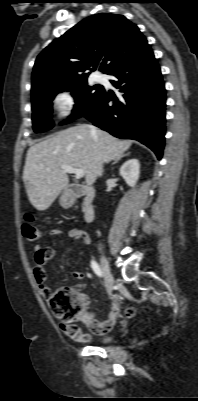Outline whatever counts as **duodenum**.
Returning a JSON list of instances; mask_svg holds the SVG:
<instances>
[{
  "label": "duodenum",
  "instance_id": "obj_1",
  "mask_svg": "<svg viewBox=\"0 0 198 401\" xmlns=\"http://www.w3.org/2000/svg\"><path fill=\"white\" fill-rule=\"evenodd\" d=\"M84 198L83 205V218L85 222L91 223L94 221L96 212L94 208L95 190L91 186L87 185H72L69 189L67 197L68 203H73L77 198Z\"/></svg>",
  "mask_w": 198,
  "mask_h": 401
}]
</instances>
